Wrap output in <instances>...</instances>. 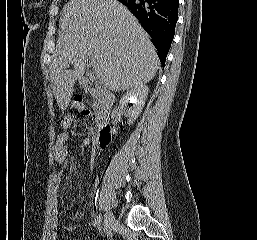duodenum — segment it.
Returning <instances> with one entry per match:
<instances>
[{"label": "duodenum", "instance_id": "obj_1", "mask_svg": "<svg viewBox=\"0 0 257 240\" xmlns=\"http://www.w3.org/2000/svg\"><path fill=\"white\" fill-rule=\"evenodd\" d=\"M83 85H84V88L87 91H92L93 90V87L88 80L84 79L83 80ZM106 101L108 103H111L112 102L111 97L106 96ZM111 137H112L111 124L108 121L102 122V124L100 125V128L98 130L97 137H96L97 147L100 148V149L106 148L111 142Z\"/></svg>", "mask_w": 257, "mask_h": 240}]
</instances>
